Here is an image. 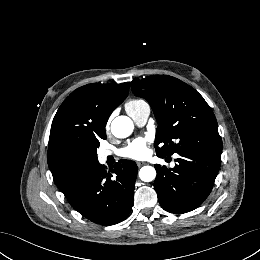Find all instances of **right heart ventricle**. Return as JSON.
Returning <instances> with one entry per match:
<instances>
[{"label":"right heart ventricle","mask_w":260,"mask_h":260,"mask_svg":"<svg viewBox=\"0 0 260 260\" xmlns=\"http://www.w3.org/2000/svg\"><path fill=\"white\" fill-rule=\"evenodd\" d=\"M145 103L146 102L144 100H141V99H132V100L127 102L126 107L135 108V107L141 106Z\"/></svg>","instance_id":"e07e8e85"}]
</instances>
